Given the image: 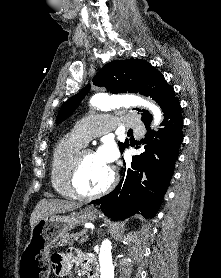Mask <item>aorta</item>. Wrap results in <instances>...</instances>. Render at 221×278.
I'll use <instances>...</instances> for the list:
<instances>
[{
  "instance_id": "aorta-1",
  "label": "aorta",
  "mask_w": 221,
  "mask_h": 278,
  "mask_svg": "<svg viewBox=\"0 0 221 278\" xmlns=\"http://www.w3.org/2000/svg\"><path fill=\"white\" fill-rule=\"evenodd\" d=\"M90 104L101 110H108L120 105L125 107L143 106L153 113V125H158L162 120V113L159 107L137 96H127L121 99L112 98L108 95L98 93L92 97ZM112 246L108 239H105L100 247L99 263L100 278H114V267L112 263Z\"/></svg>"
}]
</instances>
